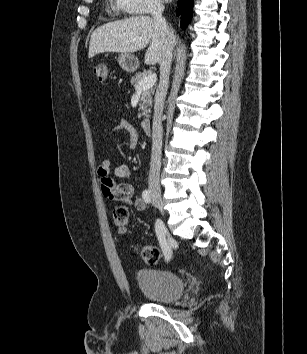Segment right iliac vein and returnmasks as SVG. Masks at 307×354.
Wrapping results in <instances>:
<instances>
[{
    "instance_id": "right-iliac-vein-1",
    "label": "right iliac vein",
    "mask_w": 307,
    "mask_h": 354,
    "mask_svg": "<svg viewBox=\"0 0 307 354\" xmlns=\"http://www.w3.org/2000/svg\"><path fill=\"white\" fill-rule=\"evenodd\" d=\"M153 202L160 209L161 213L164 214L163 203L160 197L153 195Z\"/></svg>"
}]
</instances>
